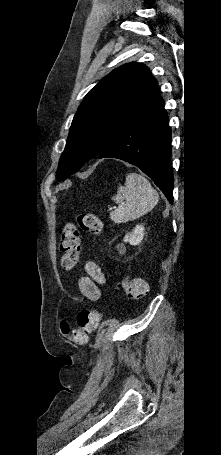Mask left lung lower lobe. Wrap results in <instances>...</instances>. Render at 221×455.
Here are the masks:
<instances>
[{
  "instance_id": "0a47b994",
  "label": "left lung lower lobe",
  "mask_w": 221,
  "mask_h": 455,
  "mask_svg": "<svg viewBox=\"0 0 221 455\" xmlns=\"http://www.w3.org/2000/svg\"><path fill=\"white\" fill-rule=\"evenodd\" d=\"M160 101L147 113L126 126L99 154L137 166L173 203L171 129Z\"/></svg>"
}]
</instances>
